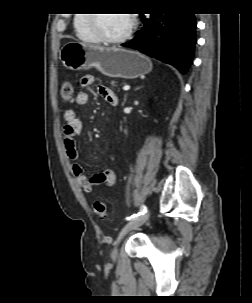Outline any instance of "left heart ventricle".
<instances>
[{
    "instance_id": "b2bd125f",
    "label": "left heart ventricle",
    "mask_w": 252,
    "mask_h": 303,
    "mask_svg": "<svg viewBox=\"0 0 252 303\" xmlns=\"http://www.w3.org/2000/svg\"><path fill=\"white\" fill-rule=\"evenodd\" d=\"M129 22L128 14H99L97 26L104 35L116 37L126 31Z\"/></svg>"
}]
</instances>
